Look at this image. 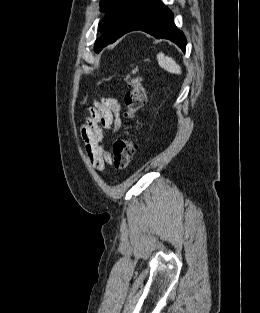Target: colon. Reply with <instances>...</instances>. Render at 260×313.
Wrapping results in <instances>:
<instances>
[{"label": "colon", "instance_id": "1", "mask_svg": "<svg viewBox=\"0 0 260 313\" xmlns=\"http://www.w3.org/2000/svg\"><path fill=\"white\" fill-rule=\"evenodd\" d=\"M137 70V65H132L129 73L125 75L128 89L124 95V116L129 122L128 128L131 131L137 129V125L135 124L137 113L146 103L145 88L142 79L136 74ZM134 151L135 144L132 135H127L116 140L113 146L112 163L114 168L117 171L127 169L132 161Z\"/></svg>", "mask_w": 260, "mask_h": 313}]
</instances>
